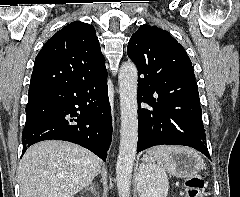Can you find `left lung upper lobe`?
<instances>
[{
    "label": "left lung upper lobe",
    "mask_w": 240,
    "mask_h": 197,
    "mask_svg": "<svg viewBox=\"0 0 240 197\" xmlns=\"http://www.w3.org/2000/svg\"><path fill=\"white\" fill-rule=\"evenodd\" d=\"M127 54L138 72L146 73L154 80L155 87L197 85L191 60L184 48L157 26L141 25L129 40Z\"/></svg>",
    "instance_id": "1"
}]
</instances>
